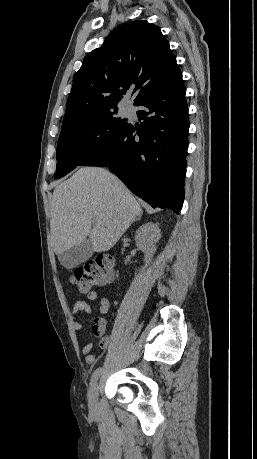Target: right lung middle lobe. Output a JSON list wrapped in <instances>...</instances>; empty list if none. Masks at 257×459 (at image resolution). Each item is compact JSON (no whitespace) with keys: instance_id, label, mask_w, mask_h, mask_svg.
I'll use <instances>...</instances> for the list:
<instances>
[{"instance_id":"1","label":"right lung middle lobe","mask_w":257,"mask_h":459,"mask_svg":"<svg viewBox=\"0 0 257 459\" xmlns=\"http://www.w3.org/2000/svg\"><path fill=\"white\" fill-rule=\"evenodd\" d=\"M115 114L117 108L81 120L61 131L55 179L103 153L120 137L129 123Z\"/></svg>"}]
</instances>
